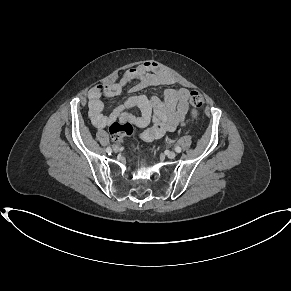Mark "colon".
I'll use <instances>...</instances> for the list:
<instances>
[{"mask_svg":"<svg viewBox=\"0 0 291 291\" xmlns=\"http://www.w3.org/2000/svg\"><path fill=\"white\" fill-rule=\"evenodd\" d=\"M203 96L196 91L189 94V103L191 105V115L196 118L199 114L198 109L203 105ZM134 132L131 123L123 121H114L110 126V134L114 140H119L124 136H130Z\"/></svg>","mask_w":291,"mask_h":291,"instance_id":"5ec220e1","label":"colon"}]
</instances>
